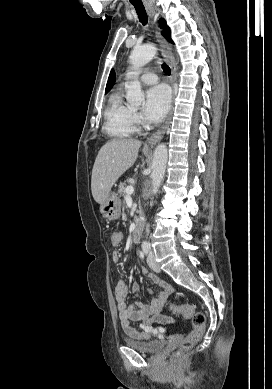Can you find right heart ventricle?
Listing matches in <instances>:
<instances>
[{
    "mask_svg": "<svg viewBox=\"0 0 272 389\" xmlns=\"http://www.w3.org/2000/svg\"><path fill=\"white\" fill-rule=\"evenodd\" d=\"M104 129L116 139L128 138L137 131L135 113L124 103L121 91L114 92L108 100Z\"/></svg>",
    "mask_w": 272,
    "mask_h": 389,
    "instance_id": "obj_1",
    "label": "right heart ventricle"
}]
</instances>
